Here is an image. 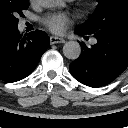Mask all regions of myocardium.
Wrapping results in <instances>:
<instances>
[{"label":"myocardium","instance_id":"f54148a6","mask_svg":"<svg viewBox=\"0 0 128 128\" xmlns=\"http://www.w3.org/2000/svg\"><path fill=\"white\" fill-rule=\"evenodd\" d=\"M94 9V4L86 3L83 5V13L88 14Z\"/></svg>","mask_w":128,"mask_h":128}]
</instances>
